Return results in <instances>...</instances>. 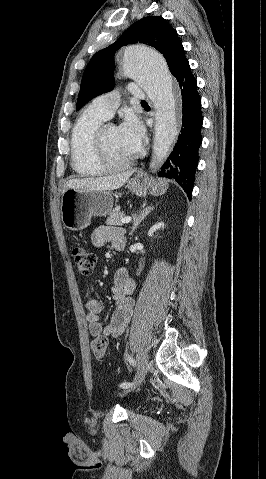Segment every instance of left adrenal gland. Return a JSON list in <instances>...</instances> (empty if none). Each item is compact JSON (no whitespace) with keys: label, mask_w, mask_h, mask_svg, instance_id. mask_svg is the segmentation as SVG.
I'll list each match as a JSON object with an SVG mask.
<instances>
[{"label":"left adrenal gland","mask_w":266,"mask_h":479,"mask_svg":"<svg viewBox=\"0 0 266 479\" xmlns=\"http://www.w3.org/2000/svg\"><path fill=\"white\" fill-rule=\"evenodd\" d=\"M154 210V206H148L144 208L140 214L135 215L133 218V226L132 230L130 231L129 235H132L133 232L136 230V228L139 226V224L144 220V218L151 213Z\"/></svg>","instance_id":"1"}]
</instances>
